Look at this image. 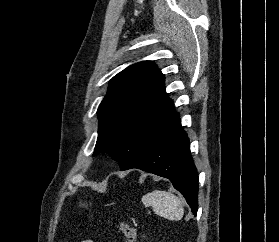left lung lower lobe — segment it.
I'll list each match as a JSON object with an SVG mask.
<instances>
[{
    "label": "left lung lower lobe",
    "instance_id": "obj_1",
    "mask_svg": "<svg viewBox=\"0 0 279 242\" xmlns=\"http://www.w3.org/2000/svg\"><path fill=\"white\" fill-rule=\"evenodd\" d=\"M190 143L180 120L124 170L138 168L168 178L186 199L192 213L198 210V174L190 154Z\"/></svg>",
    "mask_w": 279,
    "mask_h": 242
}]
</instances>
